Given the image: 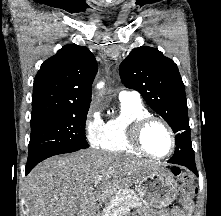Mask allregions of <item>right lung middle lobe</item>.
Listing matches in <instances>:
<instances>
[{"label":"right lung middle lobe","mask_w":221,"mask_h":216,"mask_svg":"<svg viewBox=\"0 0 221 216\" xmlns=\"http://www.w3.org/2000/svg\"><path fill=\"white\" fill-rule=\"evenodd\" d=\"M89 108L31 121L26 165L38 164L54 155L88 148L85 122Z\"/></svg>","instance_id":"1"}]
</instances>
